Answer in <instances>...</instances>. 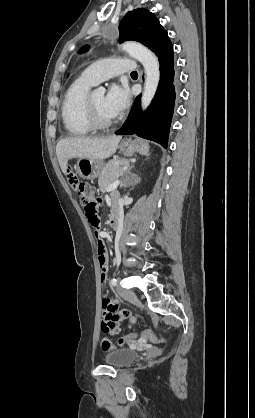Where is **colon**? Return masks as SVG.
<instances>
[{"mask_svg": "<svg viewBox=\"0 0 255 418\" xmlns=\"http://www.w3.org/2000/svg\"><path fill=\"white\" fill-rule=\"evenodd\" d=\"M70 183L75 194L78 196L80 202L83 205L86 217L89 223L94 227L97 228L99 225V219L97 215V202L93 197V189L92 187L81 180H79L74 175H70ZM106 250V249H105ZM142 337L152 342L162 341L163 337L151 330H145L142 333ZM134 335H125L120 337L117 340L116 345L111 342L108 338H103L101 342V347L103 351H111L117 346H122L124 344L132 343Z\"/></svg>", "mask_w": 255, "mask_h": 418, "instance_id": "1", "label": "colon"}]
</instances>
